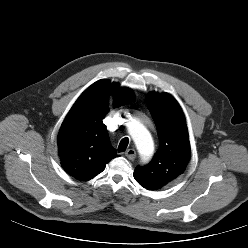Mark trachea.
Here are the masks:
<instances>
[{"instance_id":"1","label":"trachea","mask_w":248,"mask_h":248,"mask_svg":"<svg viewBox=\"0 0 248 248\" xmlns=\"http://www.w3.org/2000/svg\"><path fill=\"white\" fill-rule=\"evenodd\" d=\"M128 144H129V139L127 137L123 138L119 143L118 152H124L127 149Z\"/></svg>"}]
</instances>
